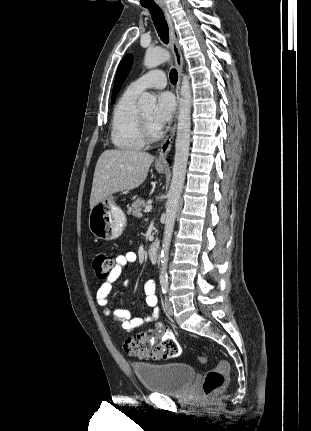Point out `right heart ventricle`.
Here are the masks:
<instances>
[{
  "label": "right heart ventricle",
  "mask_w": 311,
  "mask_h": 431,
  "mask_svg": "<svg viewBox=\"0 0 311 431\" xmlns=\"http://www.w3.org/2000/svg\"><path fill=\"white\" fill-rule=\"evenodd\" d=\"M138 95L127 88L113 108L110 138L118 150L135 151L145 144L140 137Z\"/></svg>",
  "instance_id": "right-heart-ventricle-1"
}]
</instances>
